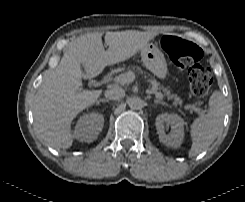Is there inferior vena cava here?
Wrapping results in <instances>:
<instances>
[{"mask_svg":"<svg viewBox=\"0 0 245 202\" xmlns=\"http://www.w3.org/2000/svg\"><path fill=\"white\" fill-rule=\"evenodd\" d=\"M124 96H125V91L119 87H114L105 91V97L108 100H119Z\"/></svg>","mask_w":245,"mask_h":202,"instance_id":"1","label":"inferior vena cava"}]
</instances>
